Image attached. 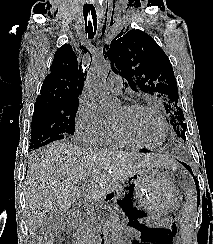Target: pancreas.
<instances>
[{
	"mask_svg": "<svg viewBox=\"0 0 213 244\" xmlns=\"http://www.w3.org/2000/svg\"><path fill=\"white\" fill-rule=\"evenodd\" d=\"M95 224L96 221L91 218H87L81 222L79 226V235L84 244H90L94 235L96 234L97 228L95 227Z\"/></svg>",
	"mask_w": 213,
	"mask_h": 244,
	"instance_id": "obj_1",
	"label": "pancreas"
}]
</instances>
